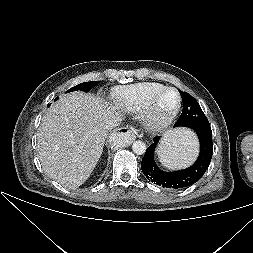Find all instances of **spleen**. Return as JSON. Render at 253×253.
<instances>
[{
  "mask_svg": "<svg viewBox=\"0 0 253 253\" xmlns=\"http://www.w3.org/2000/svg\"><path fill=\"white\" fill-rule=\"evenodd\" d=\"M197 152V139L187 130L169 131L157 150L162 165L170 169L186 167L195 159Z\"/></svg>",
  "mask_w": 253,
  "mask_h": 253,
  "instance_id": "1",
  "label": "spleen"
}]
</instances>
